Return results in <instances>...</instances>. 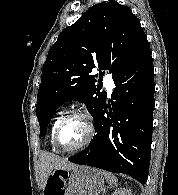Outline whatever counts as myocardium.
I'll list each match as a JSON object with an SVG mask.
<instances>
[{"label":"myocardium","mask_w":178,"mask_h":195,"mask_svg":"<svg viewBox=\"0 0 178 195\" xmlns=\"http://www.w3.org/2000/svg\"><path fill=\"white\" fill-rule=\"evenodd\" d=\"M73 119H81L84 121L87 131H86V137L84 138V140L76 147L73 148H64L61 147L59 144V134L61 129L63 128V126L70 120ZM94 124H93V120L92 117L90 116V114H88L87 112L84 111H75L72 112L70 114H68L67 116L63 117L59 123L57 124L54 134H53V145L54 147L60 151V152H64V153H72V152H77L82 150L83 148H85L92 140L93 136H94Z\"/></svg>","instance_id":"obj_1"}]
</instances>
